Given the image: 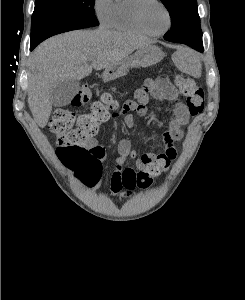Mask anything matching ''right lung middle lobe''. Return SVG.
Here are the masks:
<instances>
[{
	"mask_svg": "<svg viewBox=\"0 0 245 300\" xmlns=\"http://www.w3.org/2000/svg\"><path fill=\"white\" fill-rule=\"evenodd\" d=\"M98 25L94 0H36L31 23V45L62 32Z\"/></svg>",
	"mask_w": 245,
	"mask_h": 300,
	"instance_id": "1",
	"label": "right lung middle lobe"
}]
</instances>
